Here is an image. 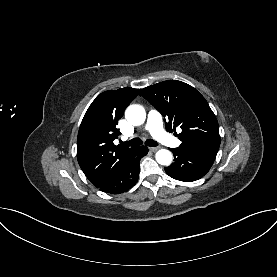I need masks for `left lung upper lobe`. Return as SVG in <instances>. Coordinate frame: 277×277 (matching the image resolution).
I'll use <instances>...</instances> for the list:
<instances>
[{"mask_svg": "<svg viewBox=\"0 0 277 277\" xmlns=\"http://www.w3.org/2000/svg\"><path fill=\"white\" fill-rule=\"evenodd\" d=\"M140 95L167 118V131L181 127L180 147L220 146L217 119L192 86L177 80L163 81L144 88Z\"/></svg>", "mask_w": 277, "mask_h": 277, "instance_id": "1", "label": "left lung upper lobe"}]
</instances>
